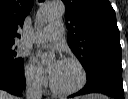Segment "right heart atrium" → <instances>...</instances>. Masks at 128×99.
Wrapping results in <instances>:
<instances>
[{"label":"right heart atrium","mask_w":128,"mask_h":99,"mask_svg":"<svg viewBox=\"0 0 128 99\" xmlns=\"http://www.w3.org/2000/svg\"><path fill=\"white\" fill-rule=\"evenodd\" d=\"M24 74L26 83L32 88H41L46 83L43 73L32 62L25 65Z\"/></svg>","instance_id":"right-heart-atrium-1"}]
</instances>
